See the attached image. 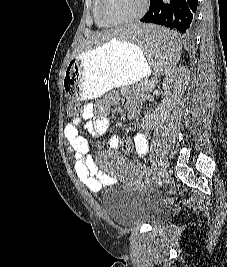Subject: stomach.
I'll use <instances>...</instances> for the list:
<instances>
[{"mask_svg": "<svg viewBox=\"0 0 227 267\" xmlns=\"http://www.w3.org/2000/svg\"><path fill=\"white\" fill-rule=\"evenodd\" d=\"M151 73L141 47L124 43L118 37L101 46L83 51L67 64L63 83L72 101H86L110 89L134 85Z\"/></svg>", "mask_w": 227, "mask_h": 267, "instance_id": "1", "label": "stomach"}]
</instances>
